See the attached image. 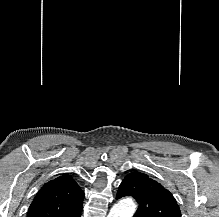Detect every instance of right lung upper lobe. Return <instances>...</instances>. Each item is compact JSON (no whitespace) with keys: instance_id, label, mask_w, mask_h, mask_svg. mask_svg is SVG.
<instances>
[{"instance_id":"obj_1","label":"right lung upper lobe","mask_w":219,"mask_h":217,"mask_svg":"<svg viewBox=\"0 0 219 217\" xmlns=\"http://www.w3.org/2000/svg\"><path fill=\"white\" fill-rule=\"evenodd\" d=\"M84 192L69 174L45 183L31 203L27 217H80Z\"/></svg>"}]
</instances>
